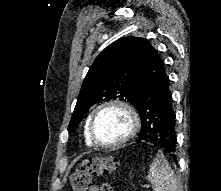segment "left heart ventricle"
I'll return each instance as SVG.
<instances>
[{
    "label": "left heart ventricle",
    "instance_id": "1",
    "mask_svg": "<svg viewBox=\"0 0 221 191\" xmlns=\"http://www.w3.org/2000/svg\"><path fill=\"white\" fill-rule=\"evenodd\" d=\"M129 119L120 109H106L99 113L94 125L96 138L103 143H111L125 136Z\"/></svg>",
    "mask_w": 221,
    "mask_h": 191
}]
</instances>
